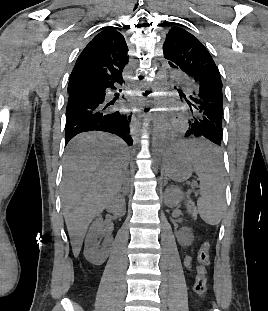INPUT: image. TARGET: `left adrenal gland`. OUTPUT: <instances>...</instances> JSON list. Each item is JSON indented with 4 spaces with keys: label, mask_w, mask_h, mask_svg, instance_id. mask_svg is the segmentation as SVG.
Instances as JSON below:
<instances>
[{
    "label": "left adrenal gland",
    "mask_w": 268,
    "mask_h": 311,
    "mask_svg": "<svg viewBox=\"0 0 268 311\" xmlns=\"http://www.w3.org/2000/svg\"><path fill=\"white\" fill-rule=\"evenodd\" d=\"M167 184V177L164 178V186Z\"/></svg>",
    "instance_id": "left-adrenal-gland-1"
}]
</instances>
